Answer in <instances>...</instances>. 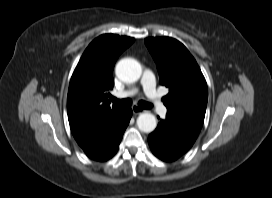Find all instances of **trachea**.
Here are the masks:
<instances>
[{
	"label": "trachea",
	"instance_id": "obj_1",
	"mask_svg": "<svg viewBox=\"0 0 272 198\" xmlns=\"http://www.w3.org/2000/svg\"><path fill=\"white\" fill-rule=\"evenodd\" d=\"M111 100L114 102V103H117L121 106H125V107H129L132 105V100L127 98V99H117L115 97H111ZM138 105L141 107V108H144V109H151L152 108V104L148 103V102H145L143 100L139 101L138 102Z\"/></svg>",
	"mask_w": 272,
	"mask_h": 198
}]
</instances>
